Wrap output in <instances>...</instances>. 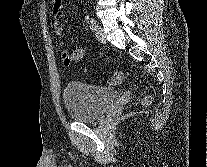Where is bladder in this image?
<instances>
[{
    "mask_svg": "<svg viewBox=\"0 0 207 167\" xmlns=\"http://www.w3.org/2000/svg\"><path fill=\"white\" fill-rule=\"evenodd\" d=\"M117 98L111 88L69 82L63 90V101L69 117L76 122L99 120Z\"/></svg>",
    "mask_w": 207,
    "mask_h": 167,
    "instance_id": "1",
    "label": "bladder"
}]
</instances>
